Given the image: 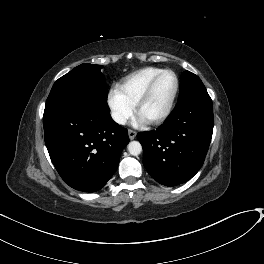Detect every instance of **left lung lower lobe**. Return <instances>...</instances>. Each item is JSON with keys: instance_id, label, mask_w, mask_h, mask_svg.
I'll list each match as a JSON object with an SVG mask.
<instances>
[{"instance_id": "obj_1", "label": "left lung lower lobe", "mask_w": 264, "mask_h": 264, "mask_svg": "<svg viewBox=\"0 0 264 264\" xmlns=\"http://www.w3.org/2000/svg\"><path fill=\"white\" fill-rule=\"evenodd\" d=\"M213 126V105L207 92L179 100L163 125L137 134L147 172L166 186L191 179L203 165Z\"/></svg>"}]
</instances>
